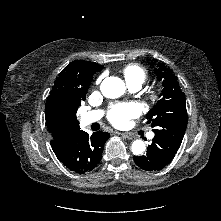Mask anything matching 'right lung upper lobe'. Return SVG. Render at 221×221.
Returning a JSON list of instances; mask_svg holds the SVG:
<instances>
[{
	"label": "right lung upper lobe",
	"mask_w": 221,
	"mask_h": 221,
	"mask_svg": "<svg viewBox=\"0 0 221 221\" xmlns=\"http://www.w3.org/2000/svg\"><path fill=\"white\" fill-rule=\"evenodd\" d=\"M102 68L94 62L75 60L56 78L45 104L46 126L52 137L53 151L71 145L81 131L74 112L85 99L93 75Z\"/></svg>",
	"instance_id": "obj_1"
}]
</instances>
